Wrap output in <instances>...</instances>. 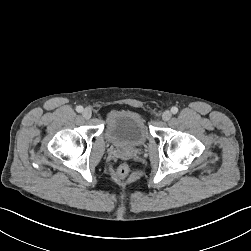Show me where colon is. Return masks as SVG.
I'll return each mask as SVG.
<instances>
[{
  "mask_svg": "<svg viewBox=\"0 0 251 251\" xmlns=\"http://www.w3.org/2000/svg\"><path fill=\"white\" fill-rule=\"evenodd\" d=\"M129 173V167L128 165L126 164H121L119 165V167L117 168V175L120 177V178H125L127 177Z\"/></svg>",
  "mask_w": 251,
  "mask_h": 251,
  "instance_id": "colon-1",
  "label": "colon"
}]
</instances>
